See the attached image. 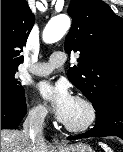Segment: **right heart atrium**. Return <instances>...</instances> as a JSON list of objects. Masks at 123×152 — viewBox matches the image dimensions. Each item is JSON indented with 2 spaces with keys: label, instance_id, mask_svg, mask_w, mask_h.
Here are the masks:
<instances>
[{
  "label": "right heart atrium",
  "instance_id": "obj_1",
  "mask_svg": "<svg viewBox=\"0 0 123 152\" xmlns=\"http://www.w3.org/2000/svg\"><path fill=\"white\" fill-rule=\"evenodd\" d=\"M29 116L37 122H43L47 117V112L44 108L34 105L29 109Z\"/></svg>",
  "mask_w": 123,
  "mask_h": 152
}]
</instances>
